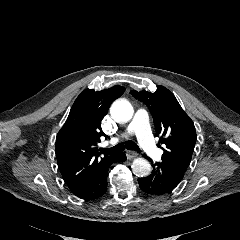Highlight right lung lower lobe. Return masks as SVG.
I'll use <instances>...</instances> for the list:
<instances>
[{
	"instance_id": "right-lung-lower-lobe-1",
	"label": "right lung lower lobe",
	"mask_w": 240,
	"mask_h": 240,
	"mask_svg": "<svg viewBox=\"0 0 240 240\" xmlns=\"http://www.w3.org/2000/svg\"><path fill=\"white\" fill-rule=\"evenodd\" d=\"M126 160L123 152L114 154L103 164V166L91 176L79 189L73 192L74 195L85 200H94L101 197L107 190V172L112 163Z\"/></svg>"
}]
</instances>
